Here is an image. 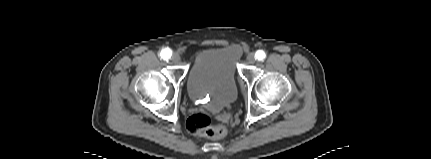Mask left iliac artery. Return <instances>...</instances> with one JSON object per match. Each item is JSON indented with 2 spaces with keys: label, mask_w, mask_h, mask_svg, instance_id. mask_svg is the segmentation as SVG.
<instances>
[{
  "label": "left iliac artery",
  "mask_w": 431,
  "mask_h": 159,
  "mask_svg": "<svg viewBox=\"0 0 431 159\" xmlns=\"http://www.w3.org/2000/svg\"><path fill=\"white\" fill-rule=\"evenodd\" d=\"M255 56H256V58H257L258 60H263V59H265L266 54H265V52H264V51H262V50H258V51L256 52Z\"/></svg>",
  "instance_id": "left-iliac-artery-1"
}]
</instances>
